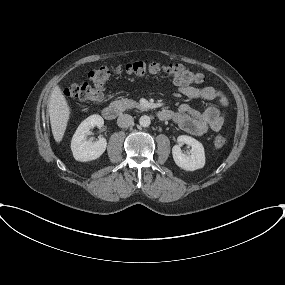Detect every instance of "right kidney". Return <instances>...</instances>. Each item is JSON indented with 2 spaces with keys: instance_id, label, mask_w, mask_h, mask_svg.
<instances>
[{
  "instance_id": "obj_1",
  "label": "right kidney",
  "mask_w": 285,
  "mask_h": 285,
  "mask_svg": "<svg viewBox=\"0 0 285 285\" xmlns=\"http://www.w3.org/2000/svg\"><path fill=\"white\" fill-rule=\"evenodd\" d=\"M103 125V118L95 114L86 118L78 126L71 141V150L75 160L80 162L92 161L99 158L105 152L107 147L105 138H100L94 143L86 139L92 128L95 126L101 128Z\"/></svg>"
}]
</instances>
